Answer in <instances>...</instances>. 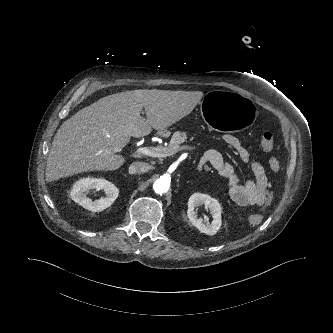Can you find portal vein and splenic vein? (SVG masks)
<instances>
[{"instance_id":"1","label":"portal vein and splenic vein","mask_w":333,"mask_h":333,"mask_svg":"<svg viewBox=\"0 0 333 333\" xmlns=\"http://www.w3.org/2000/svg\"><path fill=\"white\" fill-rule=\"evenodd\" d=\"M138 155L150 156V157H167L175 153L174 150H169L166 147H140L135 151Z\"/></svg>"}]
</instances>
